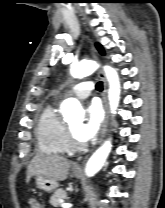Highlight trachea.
<instances>
[{
    "mask_svg": "<svg viewBox=\"0 0 165 208\" xmlns=\"http://www.w3.org/2000/svg\"><path fill=\"white\" fill-rule=\"evenodd\" d=\"M96 89L99 90V91H102V89H103V84H102V82H98V83L96 84Z\"/></svg>",
    "mask_w": 165,
    "mask_h": 208,
    "instance_id": "trachea-1",
    "label": "trachea"
}]
</instances>
